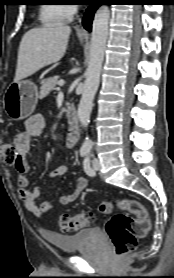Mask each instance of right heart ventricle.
Segmentation results:
<instances>
[{
  "mask_svg": "<svg viewBox=\"0 0 174 278\" xmlns=\"http://www.w3.org/2000/svg\"><path fill=\"white\" fill-rule=\"evenodd\" d=\"M70 18L64 4L49 3L40 8V20L45 26L58 25L67 22Z\"/></svg>",
  "mask_w": 174,
  "mask_h": 278,
  "instance_id": "obj_1",
  "label": "right heart ventricle"
}]
</instances>
